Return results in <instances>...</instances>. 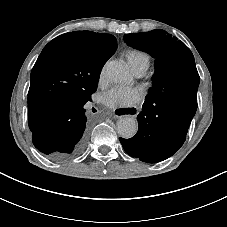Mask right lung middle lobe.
<instances>
[{"mask_svg": "<svg viewBox=\"0 0 227 227\" xmlns=\"http://www.w3.org/2000/svg\"><path fill=\"white\" fill-rule=\"evenodd\" d=\"M99 74H100V72H98V73L96 74V76L93 78V87H94V89L90 92L89 95H91V93H93V92L96 90V88H97L98 79H99Z\"/></svg>", "mask_w": 227, "mask_h": 227, "instance_id": "obj_1", "label": "right lung middle lobe"}]
</instances>
